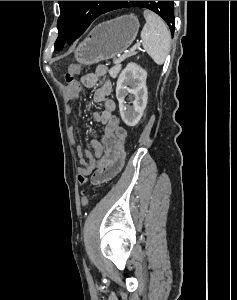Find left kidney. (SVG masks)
<instances>
[{"label":"left kidney","mask_w":237,"mask_h":300,"mask_svg":"<svg viewBox=\"0 0 237 300\" xmlns=\"http://www.w3.org/2000/svg\"><path fill=\"white\" fill-rule=\"evenodd\" d=\"M146 79L145 69H142L136 63H128L118 77L116 97L119 101L121 119L128 127L138 125L146 109L148 99ZM127 95H130L133 107L126 105L125 97Z\"/></svg>","instance_id":"left-kidney-1"}]
</instances>
